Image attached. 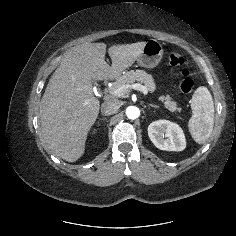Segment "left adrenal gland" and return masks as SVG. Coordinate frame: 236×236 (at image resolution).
Wrapping results in <instances>:
<instances>
[{"label": "left adrenal gland", "instance_id": "left-adrenal-gland-1", "mask_svg": "<svg viewBox=\"0 0 236 236\" xmlns=\"http://www.w3.org/2000/svg\"><path fill=\"white\" fill-rule=\"evenodd\" d=\"M150 107L159 108L157 105H153V104H149L148 109H150Z\"/></svg>", "mask_w": 236, "mask_h": 236}]
</instances>
